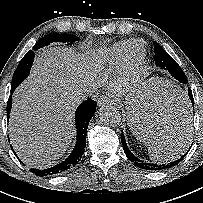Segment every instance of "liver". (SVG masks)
<instances>
[{"mask_svg": "<svg viewBox=\"0 0 203 203\" xmlns=\"http://www.w3.org/2000/svg\"><path fill=\"white\" fill-rule=\"evenodd\" d=\"M98 72L87 57L71 49L50 47L36 57L29 78L13 95L9 122L11 144L24 163L46 169L66 151L75 134L73 114L79 102L74 94L94 87ZM142 99L137 94L133 104ZM136 110L127 113L129 126L149 143L160 147L182 133L177 113L160 114L157 124L149 126L139 121Z\"/></svg>", "mask_w": 203, "mask_h": 203, "instance_id": "liver-1", "label": "liver"}]
</instances>
